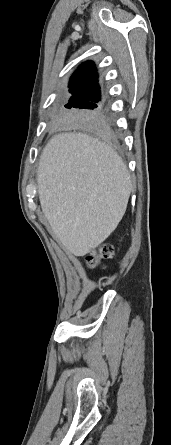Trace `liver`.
I'll return each instance as SVG.
<instances>
[{"instance_id": "6515ba94", "label": "liver", "mask_w": 171, "mask_h": 445, "mask_svg": "<svg viewBox=\"0 0 171 445\" xmlns=\"http://www.w3.org/2000/svg\"><path fill=\"white\" fill-rule=\"evenodd\" d=\"M37 184L55 237L75 256L89 253L116 229L133 187L116 151L80 132L50 139L39 161Z\"/></svg>"}]
</instances>
